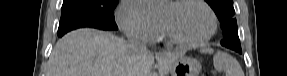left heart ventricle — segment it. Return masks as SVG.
<instances>
[{
    "label": "left heart ventricle",
    "instance_id": "obj_1",
    "mask_svg": "<svg viewBox=\"0 0 287 76\" xmlns=\"http://www.w3.org/2000/svg\"><path fill=\"white\" fill-rule=\"evenodd\" d=\"M160 18L165 20L172 31L184 40L200 39L210 28L208 12L196 3H186L178 7L168 4Z\"/></svg>",
    "mask_w": 287,
    "mask_h": 76
}]
</instances>
